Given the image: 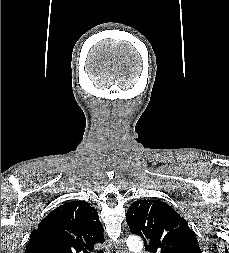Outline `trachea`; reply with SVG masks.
<instances>
[{
	"label": "trachea",
	"mask_w": 229,
	"mask_h": 253,
	"mask_svg": "<svg viewBox=\"0 0 229 253\" xmlns=\"http://www.w3.org/2000/svg\"><path fill=\"white\" fill-rule=\"evenodd\" d=\"M98 253H104V251H103V250H100ZM113 253H115V252L113 251Z\"/></svg>",
	"instance_id": "1"
}]
</instances>
